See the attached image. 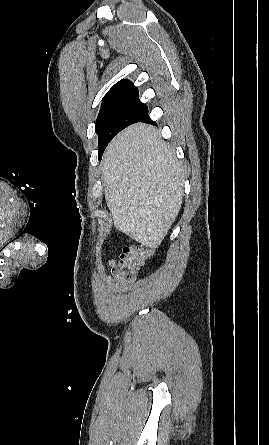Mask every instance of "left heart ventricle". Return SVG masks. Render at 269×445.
Wrapping results in <instances>:
<instances>
[{
    "label": "left heart ventricle",
    "mask_w": 269,
    "mask_h": 445,
    "mask_svg": "<svg viewBox=\"0 0 269 445\" xmlns=\"http://www.w3.org/2000/svg\"><path fill=\"white\" fill-rule=\"evenodd\" d=\"M2 237V233H0V238Z\"/></svg>",
    "instance_id": "b2bd125f"
}]
</instances>
